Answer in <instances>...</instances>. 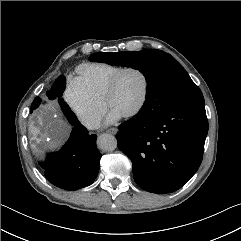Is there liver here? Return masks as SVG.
<instances>
[{"label":"liver","mask_w":241,"mask_h":241,"mask_svg":"<svg viewBox=\"0 0 241 241\" xmlns=\"http://www.w3.org/2000/svg\"><path fill=\"white\" fill-rule=\"evenodd\" d=\"M43 123V120L40 119V124ZM50 125L52 128V134H51V145H57L61 143L65 137L68 135L70 131V127L66 125L61 119H55L53 122H50ZM49 125V126H50ZM32 132L34 135L39 133V128L33 127ZM37 142L40 141V139H36Z\"/></svg>","instance_id":"obj_1"}]
</instances>
